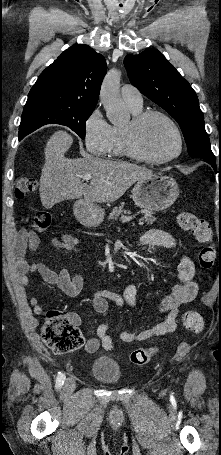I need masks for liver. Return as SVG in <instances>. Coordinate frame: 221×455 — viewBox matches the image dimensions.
<instances>
[{"mask_svg":"<svg viewBox=\"0 0 221 455\" xmlns=\"http://www.w3.org/2000/svg\"><path fill=\"white\" fill-rule=\"evenodd\" d=\"M73 143L66 131H56L47 141L45 162L40 177V199L45 209L72 199L93 202L118 200L136 181L153 175L145 167L99 158L70 159L65 154ZM90 174V183L79 176Z\"/></svg>","mask_w":221,"mask_h":455,"instance_id":"obj_1","label":"liver"}]
</instances>
